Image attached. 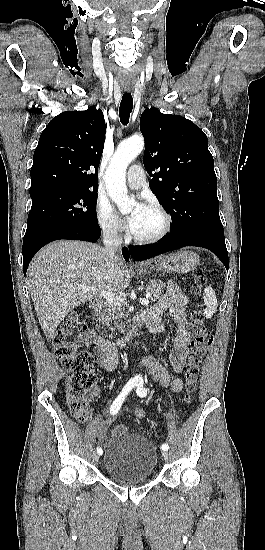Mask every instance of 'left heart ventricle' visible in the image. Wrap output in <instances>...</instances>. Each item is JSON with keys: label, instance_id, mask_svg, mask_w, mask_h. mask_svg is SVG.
I'll list each match as a JSON object with an SVG mask.
<instances>
[{"label": "left heart ventricle", "instance_id": "left-heart-ventricle-1", "mask_svg": "<svg viewBox=\"0 0 265 550\" xmlns=\"http://www.w3.org/2000/svg\"><path fill=\"white\" fill-rule=\"evenodd\" d=\"M135 208L131 210V214L134 213ZM162 226V217L156 211L146 207L138 216L136 225L132 232L137 236L148 237L159 232Z\"/></svg>", "mask_w": 265, "mask_h": 550}]
</instances>
